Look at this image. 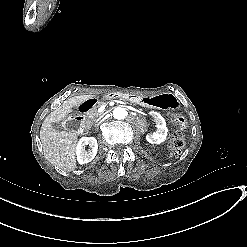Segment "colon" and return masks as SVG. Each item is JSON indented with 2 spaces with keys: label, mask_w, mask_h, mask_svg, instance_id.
<instances>
[{
  "label": "colon",
  "mask_w": 247,
  "mask_h": 247,
  "mask_svg": "<svg viewBox=\"0 0 247 247\" xmlns=\"http://www.w3.org/2000/svg\"><path fill=\"white\" fill-rule=\"evenodd\" d=\"M174 121L176 123V131L173 133L171 137L170 146H171L172 156H178L182 152L185 146L183 131L186 127V120L184 115L179 114L177 115Z\"/></svg>",
  "instance_id": "5ec220e1"
}]
</instances>
